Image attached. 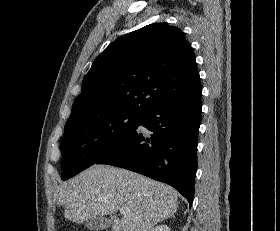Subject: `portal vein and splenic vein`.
<instances>
[{"label":"portal vein and splenic vein","mask_w":280,"mask_h":231,"mask_svg":"<svg viewBox=\"0 0 280 231\" xmlns=\"http://www.w3.org/2000/svg\"><path fill=\"white\" fill-rule=\"evenodd\" d=\"M121 213H125L126 209H120Z\"/></svg>","instance_id":"1"}]
</instances>
